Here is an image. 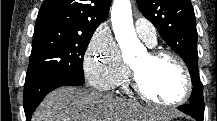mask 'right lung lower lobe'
<instances>
[{
  "label": "right lung lower lobe",
  "instance_id": "98d812e1",
  "mask_svg": "<svg viewBox=\"0 0 217 121\" xmlns=\"http://www.w3.org/2000/svg\"><path fill=\"white\" fill-rule=\"evenodd\" d=\"M84 82H80L72 76L53 73L43 75L37 79L29 81L24 85V112L26 121L31 120V116L44 99V97L60 86H82Z\"/></svg>",
  "mask_w": 217,
  "mask_h": 121
}]
</instances>
